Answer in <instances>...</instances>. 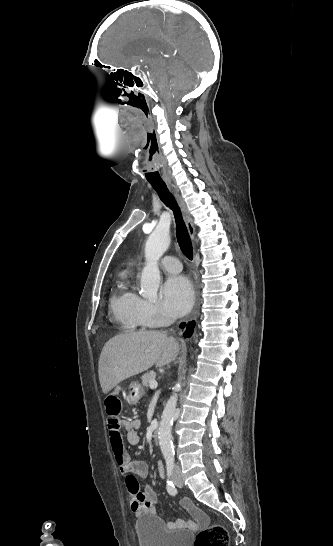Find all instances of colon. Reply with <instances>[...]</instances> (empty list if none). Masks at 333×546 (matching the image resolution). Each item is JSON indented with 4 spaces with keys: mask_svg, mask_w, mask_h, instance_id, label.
<instances>
[{
    "mask_svg": "<svg viewBox=\"0 0 333 546\" xmlns=\"http://www.w3.org/2000/svg\"><path fill=\"white\" fill-rule=\"evenodd\" d=\"M122 398L111 394L106 398V414L108 418H119L122 409ZM229 536L227 530L219 525L213 524L201 530L195 538L194 546H228Z\"/></svg>",
    "mask_w": 333,
    "mask_h": 546,
    "instance_id": "1",
    "label": "colon"
}]
</instances>
